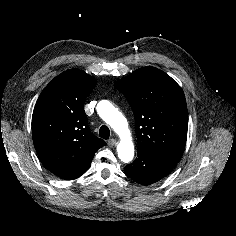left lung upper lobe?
<instances>
[{
  "mask_svg": "<svg viewBox=\"0 0 236 236\" xmlns=\"http://www.w3.org/2000/svg\"><path fill=\"white\" fill-rule=\"evenodd\" d=\"M135 117L137 151L180 161L187 138L188 111L183 90L165 72L140 68L115 83Z\"/></svg>",
  "mask_w": 236,
  "mask_h": 236,
  "instance_id": "1",
  "label": "left lung upper lobe"
}]
</instances>
